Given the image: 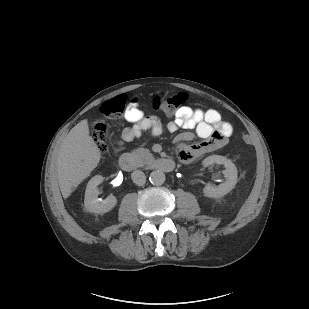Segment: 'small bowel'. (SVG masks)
Instances as JSON below:
<instances>
[{
    "mask_svg": "<svg viewBox=\"0 0 309 309\" xmlns=\"http://www.w3.org/2000/svg\"><path fill=\"white\" fill-rule=\"evenodd\" d=\"M125 119L132 122L133 126L123 132V141L138 138L144 131H149L155 137L163 131L158 117L145 115L136 101L128 105ZM179 129L185 130L175 138V141L180 144V160L184 163H192L207 153L222 147L227 143L233 131L231 124L223 121L217 110L204 111L188 106L180 107L175 112L174 119L167 123L169 132H176ZM195 137L199 139V142L186 144Z\"/></svg>",
    "mask_w": 309,
    "mask_h": 309,
    "instance_id": "1",
    "label": "small bowel"
}]
</instances>
